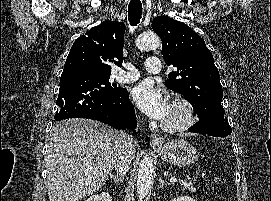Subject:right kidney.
Returning a JSON list of instances; mask_svg holds the SVG:
<instances>
[{
    "instance_id": "right-kidney-1",
    "label": "right kidney",
    "mask_w": 271,
    "mask_h": 201,
    "mask_svg": "<svg viewBox=\"0 0 271 201\" xmlns=\"http://www.w3.org/2000/svg\"><path fill=\"white\" fill-rule=\"evenodd\" d=\"M85 201H112V198L108 192H102L101 194L93 195Z\"/></svg>"
}]
</instances>
